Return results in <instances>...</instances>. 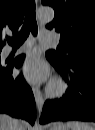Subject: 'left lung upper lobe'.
<instances>
[{
    "instance_id": "obj_1",
    "label": "left lung upper lobe",
    "mask_w": 95,
    "mask_h": 130,
    "mask_svg": "<svg viewBox=\"0 0 95 130\" xmlns=\"http://www.w3.org/2000/svg\"><path fill=\"white\" fill-rule=\"evenodd\" d=\"M55 10L48 29L61 33L60 49L46 52L63 66L95 62V0H41ZM64 50L65 53H61Z\"/></svg>"
}]
</instances>
